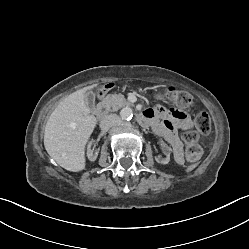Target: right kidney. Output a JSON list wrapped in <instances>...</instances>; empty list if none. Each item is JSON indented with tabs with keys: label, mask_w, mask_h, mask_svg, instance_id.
Returning <instances> with one entry per match:
<instances>
[{
	"label": "right kidney",
	"mask_w": 249,
	"mask_h": 249,
	"mask_svg": "<svg viewBox=\"0 0 249 249\" xmlns=\"http://www.w3.org/2000/svg\"><path fill=\"white\" fill-rule=\"evenodd\" d=\"M85 151L87 152L88 158L91 161H95L99 151L97 150V146L93 143H88L85 146Z\"/></svg>",
	"instance_id": "1"
}]
</instances>
